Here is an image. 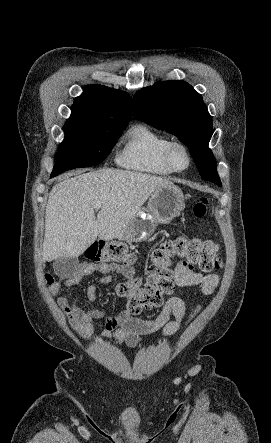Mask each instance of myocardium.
Here are the masks:
<instances>
[{
  "label": "myocardium",
  "mask_w": 271,
  "mask_h": 443,
  "mask_svg": "<svg viewBox=\"0 0 271 443\" xmlns=\"http://www.w3.org/2000/svg\"><path fill=\"white\" fill-rule=\"evenodd\" d=\"M178 146L182 147L186 151V153L188 154V157H189V165L185 169L178 168L175 165L174 160H173V151ZM164 157H165V160L168 163V165L171 167V169L177 173H182V172L189 170L192 167L193 162H194L193 153H192L190 147L185 142L180 141V140H170L168 142V144L164 150Z\"/></svg>",
  "instance_id": "obj_1"
}]
</instances>
